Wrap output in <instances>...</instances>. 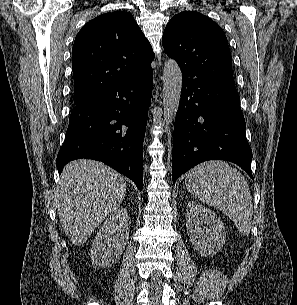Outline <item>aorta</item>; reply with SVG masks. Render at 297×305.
<instances>
[{
    "mask_svg": "<svg viewBox=\"0 0 297 305\" xmlns=\"http://www.w3.org/2000/svg\"><path fill=\"white\" fill-rule=\"evenodd\" d=\"M163 83L164 122L169 125L178 111L182 90V72L173 59H169L164 65Z\"/></svg>",
    "mask_w": 297,
    "mask_h": 305,
    "instance_id": "1",
    "label": "aorta"
}]
</instances>
